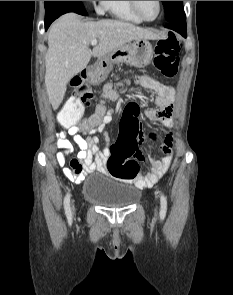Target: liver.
<instances>
[{"label":"liver","mask_w":233,"mask_h":295,"mask_svg":"<svg viewBox=\"0 0 233 295\" xmlns=\"http://www.w3.org/2000/svg\"><path fill=\"white\" fill-rule=\"evenodd\" d=\"M139 38L158 39L149 30L120 20L81 22L75 13L58 18L50 27L45 60V87L49 102L56 110L66 93L68 82L89 63L91 57H104ZM99 41L93 50L92 40Z\"/></svg>","instance_id":"liver-1"}]
</instances>
